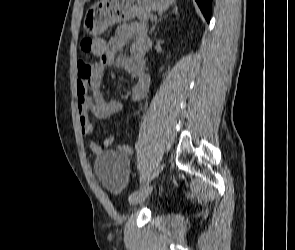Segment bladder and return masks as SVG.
<instances>
[{
    "label": "bladder",
    "instance_id": "obj_1",
    "mask_svg": "<svg viewBox=\"0 0 295 250\" xmlns=\"http://www.w3.org/2000/svg\"><path fill=\"white\" fill-rule=\"evenodd\" d=\"M129 162L125 155L114 150L101 153L94 162L99 181L111 192L121 191L126 183Z\"/></svg>",
    "mask_w": 295,
    "mask_h": 250
}]
</instances>
